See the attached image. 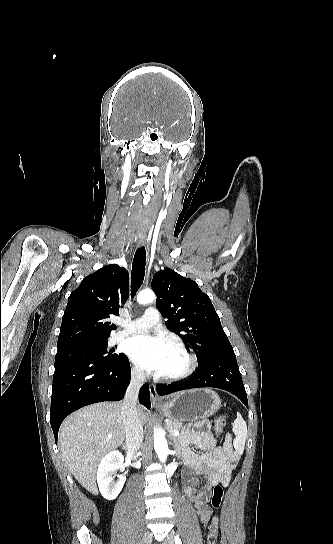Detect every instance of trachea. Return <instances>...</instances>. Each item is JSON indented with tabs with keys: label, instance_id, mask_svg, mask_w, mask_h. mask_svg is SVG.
Here are the masks:
<instances>
[{
	"label": "trachea",
	"instance_id": "1",
	"mask_svg": "<svg viewBox=\"0 0 333 544\" xmlns=\"http://www.w3.org/2000/svg\"><path fill=\"white\" fill-rule=\"evenodd\" d=\"M145 265H146V250L144 246L139 247L134 255L132 263V274H131V297L133 298L141 286L144 275H145Z\"/></svg>",
	"mask_w": 333,
	"mask_h": 544
}]
</instances>
